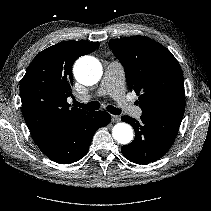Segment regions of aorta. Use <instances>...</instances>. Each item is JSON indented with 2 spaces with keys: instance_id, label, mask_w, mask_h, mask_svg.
Instances as JSON below:
<instances>
[{
  "instance_id": "1",
  "label": "aorta",
  "mask_w": 211,
  "mask_h": 211,
  "mask_svg": "<svg viewBox=\"0 0 211 211\" xmlns=\"http://www.w3.org/2000/svg\"><path fill=\"white\" fill-rule=\"evenodd\" d=\"M74 76L83 85H94L102 76V66L94 57H81L74 65ZM112 136L118 143L128 144L133 139L132 127L127 123H118L112 129Z\"/></svg>"
}]
</instances>
